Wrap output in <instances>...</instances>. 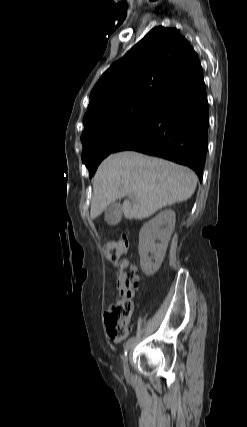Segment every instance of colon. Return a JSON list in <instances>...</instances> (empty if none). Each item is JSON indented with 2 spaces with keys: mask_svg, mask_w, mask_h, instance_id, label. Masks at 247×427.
<instances>
[{
  "mask_svg": "<svg viewBox=\"0 0 247 427\" xmlns=\"http://www.w3.org/2000/svg\"><path fill=\"white\" fill-rule=\"evenodd\" d=\"M128 247L126 237L108 241L104 246L105 257L109 262L116 264L127 252ZM134 279L137 281L138 277L134 276ZM132 310L129 297H121L109 307L104 320L111 340L119 342L127 336Z\"/></svg>",
  "mask_w": 247,
  "mask_h": 427,
  "instance_id": "obj_1",
  "label": "colon"
}]
</instances>
